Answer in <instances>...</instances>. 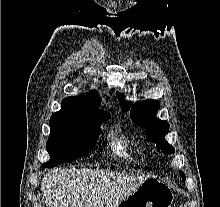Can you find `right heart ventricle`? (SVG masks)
Masks as SVG:
<instances>
[{"mask_svg":"<svg viewBox=\"0 0 220 207\" xmlns=\"http://www.w3.org/2000/svg\"><path fill=\"white\" fill-rule=\"evenodd\" d=\"M111 148L115 155L126 159V160H133L134 154L132 152V149L129 147L126 141H124L122 138L115 137L111 141Z\"/></svg>","mask_w":220,"mask_h":207,"instance_id":"1","label":"right heart ventricle"}]
</instances>
